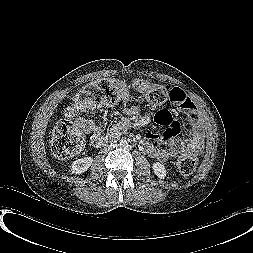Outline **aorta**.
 Listing matches in <instances>:
<instances>
[{
	"instance_id": "762f6f07",
	"label": "aorta",
	"mask_w": 253,
	"mask_h": 253,
	"mask_svg": "<svg viewBox=\"0 0 253 253\" xmlns=\"http://www.w3.org/2000/svg\"><path fill=\"white\" fill-rule=\"evenodd\" d=\"M119 146L122 150H127L128 149V141L125 140V139H122L120 142H119Z\"/></svg>"
}]
</instances>
